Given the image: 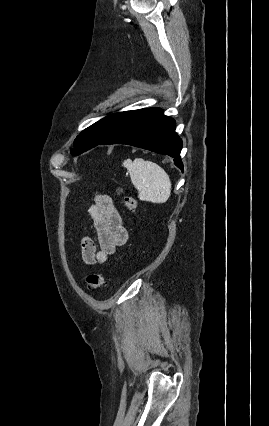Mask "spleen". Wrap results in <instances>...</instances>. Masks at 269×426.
I'll use <instances>...</instances> for the list:
<instances>
[{"label": "spleen", "mask_w": 269, "mask_h": 426, "mask_svg": "<svg viewBox=\"0 0 269 426\" xmlns=\"http://www.w3.org/2000/svg\"><path fill=\"white\" fill-rule=\"evenodd\" d=\"M122 165L127 168L133 186L138 190L141 201L165 203L171 194V181L163 168L152 161L136 158L126 159Z\"/></svg>", "instance_id": "obj_1"}]
</instances>
